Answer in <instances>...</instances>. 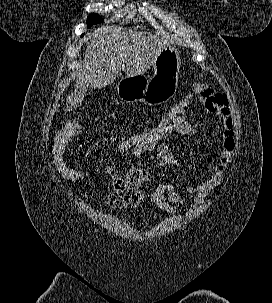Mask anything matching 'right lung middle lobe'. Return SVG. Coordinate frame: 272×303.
<instances>
[{"label": "right lung middle lobe", "instance_id": "obj_1", "mask_svg": "<svg viewBox=\"0 0 272 303\" xmlns=\"http://www.w3.org/2000/svg\"><path fill=\"white\" fill-rule=\"evenodd\" d=\"M103 19L98 14H91L87 19V26L90 27L95 23L102 22Z\"/></svg>", "mask_w": 272, "mask_h": 303}]
</instances>
